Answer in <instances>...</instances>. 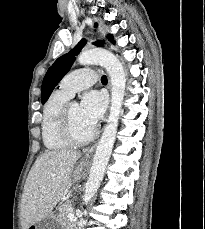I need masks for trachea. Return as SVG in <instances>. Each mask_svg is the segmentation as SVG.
I'll use <instances>...</instances> for the list:
<instances>
[{
    "instance_id": "obj_1",
    "label": "trachea",
    "mask_w": 205,
    "mask_h": 229,
    "mask_svg": "<svg viewBox=\"0 0 205 229\" xmlns=\"http://www.w3.org/2000/svg\"><path fill=\"white\" fill-rule=\"evenodd\" d=\"M101 82H102V83H107V77H106L105 75H103V76L101 77Z\"/></svg>"
}]
</instances>
